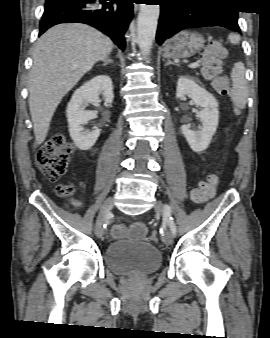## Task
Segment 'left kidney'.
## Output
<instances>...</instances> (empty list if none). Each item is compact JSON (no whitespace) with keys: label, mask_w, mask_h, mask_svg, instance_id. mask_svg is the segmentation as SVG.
I'll list each match as a JSON object with an SVG mask.
<instances>
[{"label":"left kidney","mask_w":270,"mask_h":338,"mask_svg":"<svg viewBox=\"0 0 270 338\" xmlns=\"http://www.w3.org/2000/svg\"><path fill=\"white\" fill-rule=\"evenodd\" d=\"M190 97L193 102L202 107L199 117L202 122L200 130H191L189 125H182L181 130L191 149L202 152L209 146L212 136L215 134L218 119V103L215 97L207 90L199 86L194 80L188 77H180L177 82L176 97Z\"/></svg>","instance_id":"1"}]
</instances>
